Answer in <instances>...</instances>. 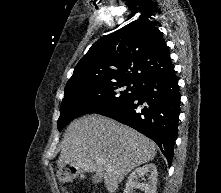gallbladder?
I'll return each instance as SVG.
<instances>
[{
  "mask_svg": "<svg viewBox=\"0 0 221 193\" xmlns=\"http://www.w3.org/2000/svg\"><path fill=\"white\" fill-rule=\"evenodd\" d=\"M92 180L94 183H98L102 180V177L101 176H98V175H95L92 177Z\"/></svg>",
  "mask_w": 221,
  "mask_h": 193,
  "instance_id": "obj_1",
  "label": "gallbladder"
}]
</instances>
